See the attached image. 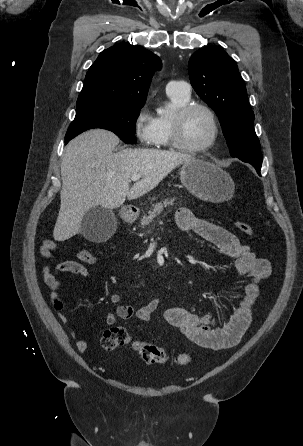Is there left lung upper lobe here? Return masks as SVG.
I'll list each match as a JSON object with an SVG mask.
<instances>
[{
  "instance_id": "5c2ea615",
  "label": "left lung upper lobe",
  "mask_w": 303,
  "mask_h": 446,
  "mask_svg": "<svg viewBox=\"0 0 303 446\" xmlns=\"http://www.w3.org/2000/svg\"><path fill=\"white\" fill-rule=\"evenodd\" d=\"M191 85L217 114L232 157L261 169L254 112L236 62L220 47L196 51L188 65Z\"/></svg>"
}]
</instances>
